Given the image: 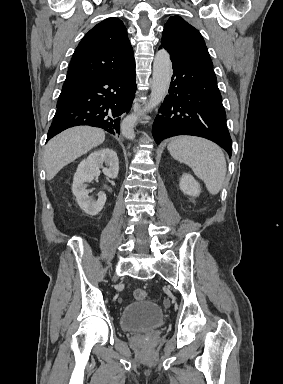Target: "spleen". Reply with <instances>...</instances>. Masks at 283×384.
<instances>
[{
	"label": "spleen",
	"instance_id": "spleen-1",
	"mask_svg": "<svg viewBox=\"0 0 283 384\" xmlns=\"http://www.w3.org/2000/svg\"><path fill=\"white\" fill-rule=\"evenodd\" d=\"M174 160L187 164L195 176L203 180L209 194L215 196L223 188L226 178L225 156L213 142L194 136H180L167 146Z\"/></svg>",
	"mask_w": 283,
	"mask_h": 384
}]
</instances>
